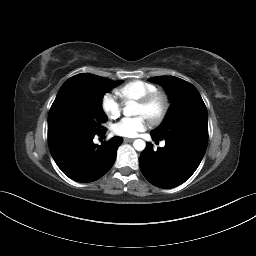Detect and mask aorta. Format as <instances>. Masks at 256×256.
Segmentation results:
<instances>
[{"instance_id":"aorta-1","label":"aorta","mask_w":256,"mask_h":256,"mask_svg":"<svg viewBox=\"0 0 256 256\" xmlns=\"http://www.w3.org/2000/svg\"><path fill=\"white\" fill-rule=\"evenodd\" d=\"M137 107V103L134 101L127 102L126 106L123 109V114L127 117L136 115L135 109ZM133 146L137 151H143L146 147V143L142 139H136L133 142Z\"/></svg>"}]
</instances>
